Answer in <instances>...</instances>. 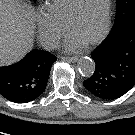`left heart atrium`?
Masks as SVG:
<instances>
[{
	"label": "left heart atrium",
	"instance_id": "obj_1",
	"mask_svg": "<svg viewBox=\"0 0 135 135\" xmlns=\"http://www.w3.org/2000/svg\"><path fill=\"white\" fill-rule=\"evenodd\" d=\"M82 45L83 44L81 42H79L76 39L69 36V38L67 40L66 48L69 51H74V50L79 49Z\"/></svg>",
	"mask_w": 135,
	"mask_h": 135
}]
</instances>
